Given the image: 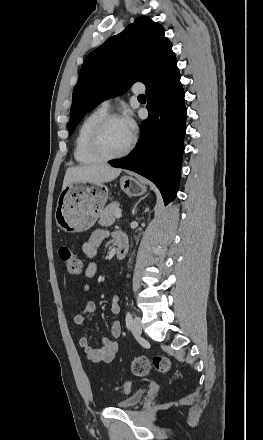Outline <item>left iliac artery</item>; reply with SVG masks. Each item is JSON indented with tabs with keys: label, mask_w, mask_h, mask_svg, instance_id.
Masks as SVG:
<instances>
[{
	"label": "left iliac artery",
	"mask_w": 263,
	"mask_h": 440,
	"mask_svg": "<svg viewBox=\"0 0 263 440\" xmlns=\"http://www.w3.org/2000/svg\"><path fill=\"white\" fill-rule=\"evenodd\" d=\"M125 322H126V327L130 329L132 324V315L129 311L126 313Z\"/></svg>",
	"instance_id": "1"
}]
</instances>
